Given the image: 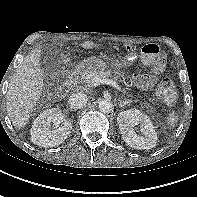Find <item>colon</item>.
Segmentation results:
<instances>
[{
    "label": "colon",
    "mask_w": 197,
    "mask_h": 197,
    "mask_svg": "<svg viewBox=\"0 0 197 197\" xmlns=\"http://www.w3.org/2000/svg\"><path fill=\"white\" fill-rule=\"evenodd\" d=\"M143 60L152 65L156 73H162L166 68V56L156 44H146L141 49ZM158 96L167 104L173 105L177 100L174 83L169 78H164L157 89Z\"/></svg>",
    "instance_id": "1"
}]
</instances>
